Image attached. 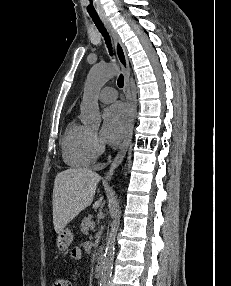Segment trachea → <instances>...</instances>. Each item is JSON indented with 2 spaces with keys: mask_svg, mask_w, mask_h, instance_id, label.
<instances>
[{
  "mask_svg": "<svg viewBox=\"0 0 231 286\" xmlns=\"http://www.w3.org/2000/svg\"><path fill=\"white\" fill-rule=\"evenodd\" d=\"M89 15L92 18V20L95 23L98 30L100 31V33H102L104 40L106 42V45L108 47L109 53L111 56H113L110 36H109L108 32L106 31L105 27L103 26L99 16L97 14H89ZM117 85L119 86V88H122L124 85V77L122 74L119 76V78L117 80Z\"/></svg>",
  "mask_w": 231,
  "mask_h": 286,
  "instance_id": "trachea-1",
  "label": "trachea"
}]
</instances>
